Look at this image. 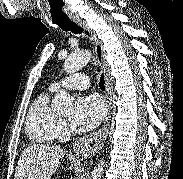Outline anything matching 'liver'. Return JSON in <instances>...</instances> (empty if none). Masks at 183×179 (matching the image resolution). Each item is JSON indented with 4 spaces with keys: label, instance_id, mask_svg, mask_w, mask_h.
<instances>
[{
    "label": "liver",
    "instance_id": "6515ba94",
    "mask_svg": "<svg viewBox=\"0 0 183 179\" xmlns=\"http://www.w3.org/2000/svg\"><path fill=\"white\" fill-rule=\"evenodd\" d=\"M64 155L65 151L59 146H29L20 155L14 179H50Z\"/></svg>",
    "mask_w": 183,
    "mask_h": 179
}]
</instances>
